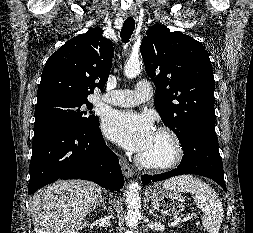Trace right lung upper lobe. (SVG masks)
<instances>
[{
	"label": "right lung upper lobe",
	"mask_w": 253,
	"mask_h": 233,
	"mask_svg": "<svg viewBox=\"0 0 253 233\" xmlns=\"http://www.w3.org/2000/svg\"><path fill=\"white\" fill-rule=\"evenodd\" d=\"M113 56L112 43L100 27L70 39L47 60L37 103L52 97L87 99L95 87L102 90Z\"/></svg>",
	"instance_id": "obj_1"
}]
</instances>
